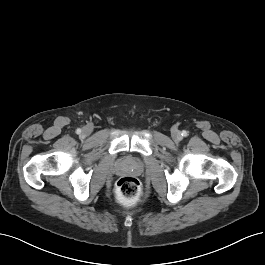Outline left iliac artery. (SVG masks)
<instances>
[{"label": "left iliac artery", "instance_id": "left-iliac-artery-1", "mask_svg": "<svg viewBox=\"0 0 265 265\" xmlns=\"http://www.w3.org/2000/svg\"><path fill=\"white\" fill-rule=\"evenodd\" d=\"M181 135L185 137V136H187V132L183 131Z\"/></svg>", "mask_w": 265, "mask_h": 265}]
</instances>
